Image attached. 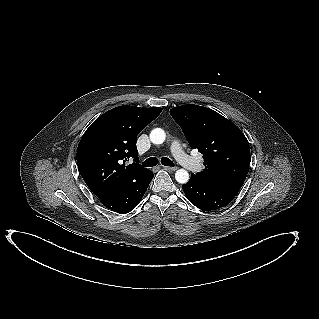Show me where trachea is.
<instances>
[{
  "instance_id": "obj_1",
  "label": "trachea",
  "mask_w": 319,
  "mask_h": 319,
  "mask_svg": "<svg viewBox=\"0 0 319 319\" xmlns=\"http://www.w3.org/2000/svg\"><path fill=\"white\" fill-rule=\"evenodd\" d=\"M157 163H158V159H157V158H155V157H150V158H148L147 160H145V161L143 162V166H144V167H153V166H156ZM161 163H162L164 166H170V167H173V166H174L173 162H172L169 158H167V157H163V158L161 159Z\"/></svg>"
}]
</instances>
